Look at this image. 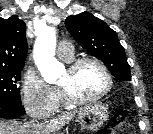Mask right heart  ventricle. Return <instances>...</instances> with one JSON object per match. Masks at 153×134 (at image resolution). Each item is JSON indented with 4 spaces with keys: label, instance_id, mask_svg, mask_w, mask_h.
Here are the masks:
<instances>
[{
    "label": "right heart ventricle",
    "instance_id": "obj_1",
    "mask_svg": "<svg viewBox=\"0 0 153 134\" xmlns=\"http://www.w3.org/2000/svg\"><path fill=\"white\" fill-rule=\"evenodd\" d=\"M70 61V60H69ZM57 103H65L60 95V93L57 91Z\"/></svg>",
    "mask_w": 153,
    "mask_h": 134
}]
</instances>
